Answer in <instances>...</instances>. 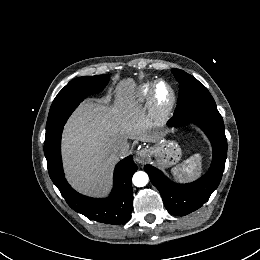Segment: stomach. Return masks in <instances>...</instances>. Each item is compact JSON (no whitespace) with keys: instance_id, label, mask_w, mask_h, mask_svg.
<instances>
[{"instance_id":"stomach-1","label":"stomach","mask_w":260,"mask_h":260,"mask_svg":"<svg viewBox=\"0 0 260 260\" xmlns=\"http://www.w3.org/2000/svg\"><path fill=\"white\" fill-rule=\"evenodd\" d=\"M152 151L162 168L177 164L182 157V150L175 141H159Z\"/></svg>"}]
</instances>
